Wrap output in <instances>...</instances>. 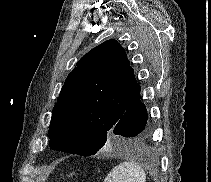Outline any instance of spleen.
Listing matches in <instances>:
<instances>
[{"label": "spleen", "instance_id": "3e777b00", "mask_svg": "<svg viewBox=\"0 0 211 182\" xmlns=\"http://www.w3.org/2000/svg\"><path fill=\"white\" fill-rule=\"evenodd\" d=\"M146 173L137 163L124 161L114 167L106 176L104 182H145Z\"/></svg>", "mask_w": 211, "mask_h": 182}]
</instances>
